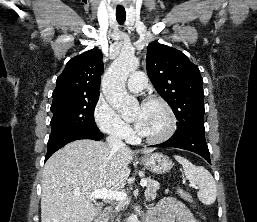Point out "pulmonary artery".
Masks as SVG:
<instances>
[{"mask_svg":"<svg viewBox=\"0 0 257 222\" xmlns=\"http://www.w3.org/2000/svg\"><path fill=\"white\" fill-rule=\"evenodd\" d=\"M146 84L147 78L142 71L133 73L127 81V87L132 92H139L143 90Z\"/></svg>","mask_w":257,"mask_h":222,"instance_id":"pulmonary-artery-1","label":"pulmonary artery"}]
</instances>
